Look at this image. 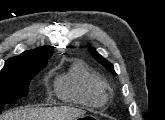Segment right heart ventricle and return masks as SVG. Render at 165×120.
<instances>
[{
    "mask_svg": "<svg viewBox=\"0 0 165 120\" xmlns=\"http://www.w3.org/2000/svg\"><path fill=\"white\" fill-rule=\"evenodd\" d=\"M55 90L61 99L89 106L102 105L107 98L104 83L81 62L56 79Z\"/></svg>",
    "mask_w": 165,
    "mask_h": 120,
    "instance_id": "right-heart-ventricle-1",
    "label": "right heart ventricle"
}]
</instances>
